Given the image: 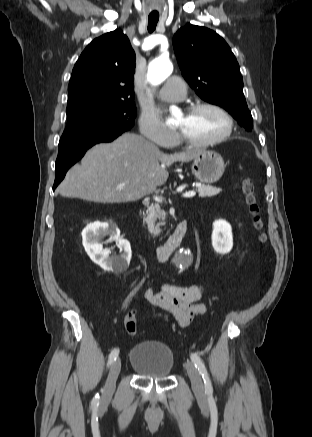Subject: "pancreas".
<instances>
[{"mask_svg":"<svg viewBox=\"0 0 312 437\" xmlns=\"http://www.w3.org/2000/svg\"><path fill=\"white\" fill-rule=\"evenodd\" d=\"M197 191L200 197L205 198L219 194L221 189L209 185H201L197 187ZM145 222L148 226L149 232L158 235L161 232L160 227L166 224V213L158 204L151 205L148 209Z\"/></svg>","mask_w":312,"mask_h":437,"instance_id":"pancreas-1","label":"pancreas"}]
</instances>
